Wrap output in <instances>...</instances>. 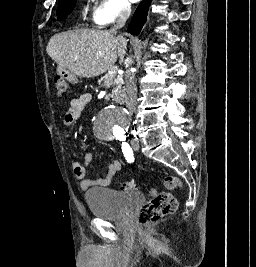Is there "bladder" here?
<instances>
[{
	"label": "bladder",
	"instance_id": "31cf9c89",
	"mask_svg": "<svg viewBox=\"0 0 256 267\" xmlns=\"http://www.w3.org/2000/svg\"><path fill=\"white\" fill-rule=\"evenodd\" d=\"M90 213L102 219L121 218L145 203L144 195H122L105 188L91 189L85 194Z\"/></svg>",
	"mask_w": 256,
	"mask_h": 267
}]
</instances>
